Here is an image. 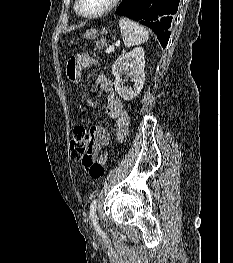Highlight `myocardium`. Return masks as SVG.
Returning <instances> with one entry per match:
<instances>
[{
	"instance_id": "myocardium-1",
	"label": "myocardium",
	"mask_w": 233,
	"mask_h": 263,
	"mask_svg": "<svg viewBox=\"0 0 233 263\" xmlns=\"http://www.w3.org/2000/svg\"><path fill=\"white\" fill-rule=\"evenodd\" d=\"M121 0H111L110 3L103 9H101L98 12L95 13H85L82 9H81V0H76V11L78 12V14H80L82 17L85 18H89V19H93V18H98L101 17L109 12H111L113 9H115L117 7V5L119 4Z\"/></svg>"
}]
</instances>
